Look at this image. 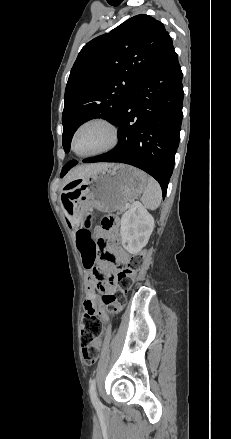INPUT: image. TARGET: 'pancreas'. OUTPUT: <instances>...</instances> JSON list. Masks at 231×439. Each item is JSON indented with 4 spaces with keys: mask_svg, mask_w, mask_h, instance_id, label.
Here are the masks:
<instances>
[{
    "mask_svg": "<svg viewBox=\"0 0 231 439\" xmlns=\"http://www.w3.org/2000/svg\"><path fill=\"white\" fill-rule=\"evenodd\" d=\"M125 208H123L122 210H120L121 212L124 210Z\"/></svg>",
    "mask_w": 231,
    "mask_h": 439,
    "instance_id": "pancreas-1",
    "label": "pancreas"
}]
</instances>
